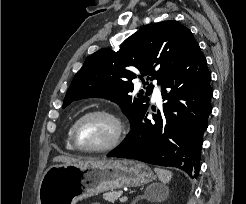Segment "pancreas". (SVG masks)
<instances>
[{
	"mask_svg": "<svg viewBox=\"0 0 246 204\" xmlns=\"http://www.w3.org/2000/svg\"><path fill=\"white\" fill-rule=\"evenodd\" d=\"M121 195H122V191H111L108 193H104L103 198L106 201L114 202L115 200L119 199Z\"/></svg>",
	"mask_w": 246,
	"mask_h": 204,
	"instance_id": "1",
	"label": "pancreas"
}]
</instances>
